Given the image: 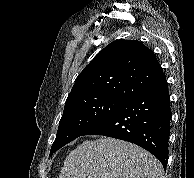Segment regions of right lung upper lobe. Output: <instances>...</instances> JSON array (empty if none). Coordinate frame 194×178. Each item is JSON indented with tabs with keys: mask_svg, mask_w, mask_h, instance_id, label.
Masks as SVG:
<instances>
[{
	"mask_svg": "<svg viewBox=\"0 0 194 178\" xmlns=\"http://www.w3.org/2000/svg\"><path fill=\"white\" fill-rule=\"evenodd\" d=\"M167 84L152 50L136 40H116L75 79L66 104L84 98L108 97L127 101Z\"/></svg>",
	"mask_w": 194,
	"mask_h": 178,
	"instance_id": "right-lung-upper-lobe-1",
	"label": "right lung upper lobe"
}]
</instances>
